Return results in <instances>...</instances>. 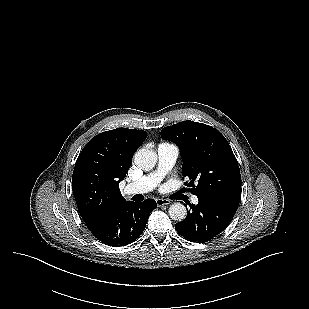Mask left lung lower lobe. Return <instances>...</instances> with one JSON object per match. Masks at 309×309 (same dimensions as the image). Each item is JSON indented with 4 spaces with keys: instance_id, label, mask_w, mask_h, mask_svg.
<instances>
[{
    "instance_id": "1",
    "label": "left lung lower lobe",
    "mask_w": 309,
    "mask_h": 309,
    "mask_svg": "<svg viewBox=\"0 0 309 309\" xmlns=\"http://www.w3.org/2000/svg\"><path fill=\"white\" fill-rule=\"evenodd\" d=\"M197 205L189 204L191 211L175 225L176 230L192 242H207L220 234L233 219L239 200L223 197L197 196Z\"/></svg>"
}]
</instances>
